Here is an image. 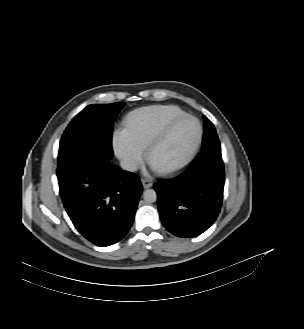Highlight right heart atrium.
Returning a JSON list of instances; mask_svg holds the SVG:
<instances>
[{"instance_id": "right-heart-atrium-1", "label": "right heart atrium", "mask_w": 304, "mask_h": 329, "mask_svg": "<svg viewBox=\"0 0 304 329\" xmlns=\"http://www.w3.org/2000/svg\"><path fill=\"white\" fill-rule=\"evenodd\" d=\"M116 155L131 168H139L144 162L143 150L134 142L126 129L118 128L113 134Z\"/></svg>"}]
</instances>
